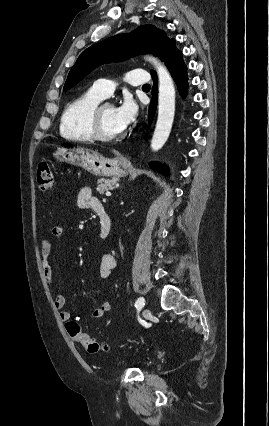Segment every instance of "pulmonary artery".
I'll return each mask as SVG.
<instances>
[{
  "mask_svg": "<svg viewBox=\"0 0 269 426\" xmlns=\"http://www.w3.org/2000/svg\"><path fill=\"white\" fill-rule=\"evenodd\" d=\"M127 81L133 86L144 85L149 81V74L145 69H132L127 74ZM91 90L101 98H106L114 90V83L110 79H100L93 84Z\"/></svg>",
  "mask_w": 269,
  "mask_h": 426,
  "instance_id": "pulmonary-artery-1",
  "label": "pulmonary artery"
}]
</instances>
